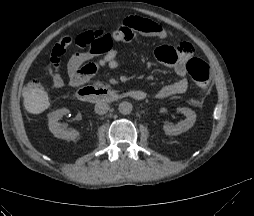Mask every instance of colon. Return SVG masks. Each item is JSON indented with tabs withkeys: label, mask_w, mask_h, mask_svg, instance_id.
Returning a JSON list of instances; mask_svg holds the SVG:
<instances>
[{
	"label": "colon",
	"mask_w": 254,
	"mask_h": 216,
	"mask_svg": "<svg viewBox=\"0 0 254 216\" xmlns=\"http://www.w3.org/2000/svg\"><path fill=\"white\" fill-rule=\"evenodd\" d=\"M76 37L79 44L96 46L101 50L106 49L112 42L111 37L97 26L82 29ZM186 70L200 89L205 90L210 86L213 76L210 64L199 58H191L187 62ZM23 98L26 106L32 111H43L49 103L47 93L37 81L30 82L25 86Z\"/></svg>",
	"instance_id": "obj_1"
}]
</instances>
